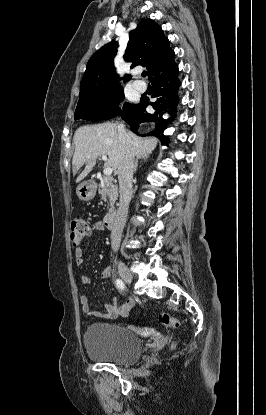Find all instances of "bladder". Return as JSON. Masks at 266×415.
<instances>
[{"label": "bladder", "instance_id": "1", "mask_svg": "<svg viewBox=\"0 0 266 415\" xmlns=\"http://www.w3.org/2000/svg\"><path fill=\"white\" fill-rule=\"evenodd\" d=\"M87 355L96 361L119 365L135 363L143 354V346L130 329L105 322L90 324L83 338Z\"/></svg>", "mask_w": 266, "mask_h": 415}]
</instances>
